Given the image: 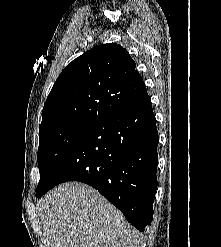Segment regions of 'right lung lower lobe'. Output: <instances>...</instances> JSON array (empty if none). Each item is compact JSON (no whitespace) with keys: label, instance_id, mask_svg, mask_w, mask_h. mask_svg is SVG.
I'll use <instances>...</instances> for the list:
<instances>
[{"label":"right lung lower lobe","instance_id":"1","mask_svg":"<svg viewBox=\"0 0 221 247\" xmlns=\"http://www.w3.org/2000/svg\"><path fill=\"white\" fill-rule=\"evenodd\" d=\"M158 132L148 95L96 124L68 152L44 187L79 181L97 189L138 230L153 220Z\"/></svg>","mask_w":221,"mask_h":247}]
</instances>
